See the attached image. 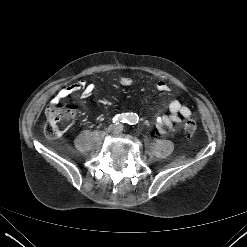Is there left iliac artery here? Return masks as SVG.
Wrapping results in <instances>:
<instances>
[{
    "label": "left iliac artery",
    "mask_w": 247,
    "mask_h": 247,
    "mask_svg": "<svg viewBox=\"0 0 247 247\" xmlns=\"http://www.w3.org/2000/svg\"><path fill=\"white\" fill-rule=\"evenodd\" d=\"M129 124H136V121H135V119H134V117H131L130 118V121L128 122Z\"/></svg>",
    "instance_id": "obj_1"
}]
</instances>
